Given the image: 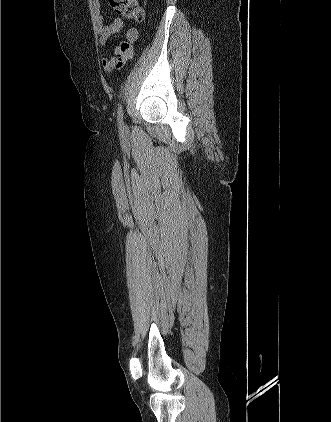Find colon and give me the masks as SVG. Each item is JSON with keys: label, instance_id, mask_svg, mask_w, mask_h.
<instances>
[{"label": "colon", "instance_id": "obj_1", "mask_svg": "<svg viewBox=\"0 0 331 422\" xmlns=\"http://www.w3.org/2000/svg\"><path fill=\"white\" fill-rule=\"evenodd\" d=\"M113 9L129 21H141L144 13L138 0H110Z\"/></svg>", "mask_w": 331, "mask_h": 422}]
</instances>
